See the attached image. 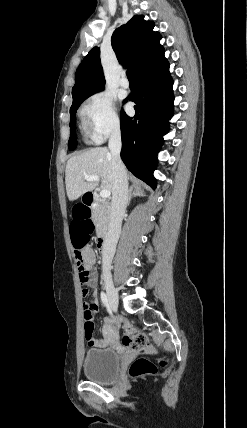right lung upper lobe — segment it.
Listing matches in <instances>:
<instances>
[{
    "label": "right lung upper lobe",
    "mask_w": 247,
    "mask_h": 428,
    "mask_svg": "<svg viewBox=\"0 0 247 428\" xmlns=\"http://www.w3.org/2000/svg\"><path fill=\"white\" fill-rule=\"evenodd\" d=\"M154 22L135 15L127 24L117 28L111 38L112 47L120 63L135 75L164 56L160 44L162 36L153 31ZM104 89V75L100 64V49L94 47L84 58L76 72L72 88L73 103Z\"/></svg>",
    "instance_id": "cb5924a9"
}]
</instances>
